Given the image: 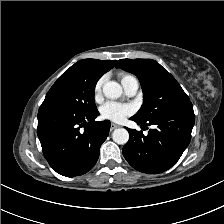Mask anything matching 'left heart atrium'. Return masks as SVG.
<instances>
[{
    "instance_id": "1",
    "label": "left heart atrium",
    "mask_w": 224,
    "mask_h": 224,
    "mask_svg": "<svg viewBox=\"0 0 224 224\" xmlns=\"http://www.w3.org/2000/svg\"><path fill=\"white\" fill-rule=\"evenodd\" d=\"M133 113V107L129 104L109 101L101 107L103 118L114 122H121Z\"/></svg>"
}]
</instances>
